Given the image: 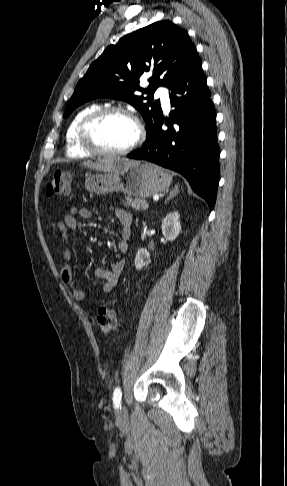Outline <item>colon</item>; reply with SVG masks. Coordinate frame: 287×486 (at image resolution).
<instances>
[{
    "label": "colon",
    "mask_w": 287,
    "mask_h": 486,
    "mask_svg": "<svg viewBox=\"0 0 287 486\" xmlns=\"http://www.w3.org/2000/svg\"><path fill=\"white\" fill-rule=\"evenodd\" d=\"M70 189V175L66 171H55L46 186L49 196H62L68 194ZM96 320L102 334H110L116 327V311L105 305L99 304L96 310Z\"/></svg>",
    "instance_id": "obj_1"
}]
</instances>
